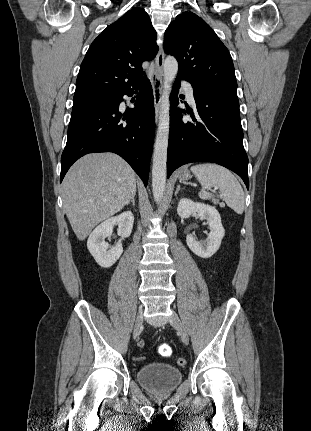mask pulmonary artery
I'll use <instances>...</instances> for the list:
<instances>
[{"mask_svg":"<svg viewBox=\"0 0 311 431\" xmlns=\"http://www.w3.org/2000/svg\"><path fill=\"white\" fill-rule=\"evenodd\" d=\"M184 93L186 94L188 100L191 103H195V99H194V91H193V87L191 86V84L189 82H183L182 84Z\"/></svg>","mask_w":311,"mask_h":431,"instance_id":"e3ab8cb5","label":"pulmonary artery"}]
</instances>
